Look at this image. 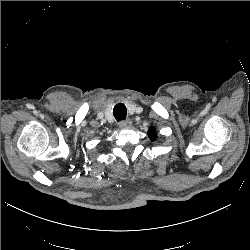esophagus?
<instances>
[{
  "instance_id": "1",
  "label": "esophagus",
  "mask_w": 250,
  "mask_h": 250,
  "mask_svg": "<svg viewBox=\"0 0 250 250\" xmlns=\"http://www.w3.org/2000/svg\"><path fill=\"white\" fill-rule=\"evenodd\" d=\"M132 125V121L130 119L123 120L119 123L120 128H128Z\"/></svg>"
}]
</instances>
